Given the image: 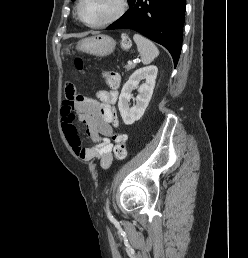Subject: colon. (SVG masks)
I'll return each instance as SVG.
<instances>
[{
    "label": "colon",
    "mask_w": 248,
    "mask_h": 258,
    "mask_svg": "<svg viewBox=\"0 0 248 258\" xmlns=\"http://www.w3.org/2000/svg\"><path fill=\"white\" fill-rule=\"evenodd\" d=\"M122 46L124 48L129 47V41L127 39L122 40ZM75 67L77 70H82V61L80 59L75 60ZM103 81L112 88H115L119 82V76L116 72L108 71L102 74ZM114 140L116 142L114 148V156L117 160H123L126 157L127 150H126V135L123 133H116L114 135Z\"/></svg>",
    "instance_id": "colon-1"
}]
</instances>
